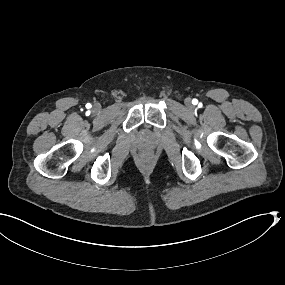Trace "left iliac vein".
<instances>
[{
	"instance_id": "1",
	"label": "left iliac vein",
	"mask_w": 285,
	"mask_h": 285,
	"mask_svg": "<svg viewBox=\"0 0 285 285\" xmlns=\"http://www.w3.org/2000/svg\"><path fill=\"white\" fill-rule=\"evenodd\" d=\"M186 105L188 108H192V103L190 99H186Z\"/></svg>"
}]
</instances>
